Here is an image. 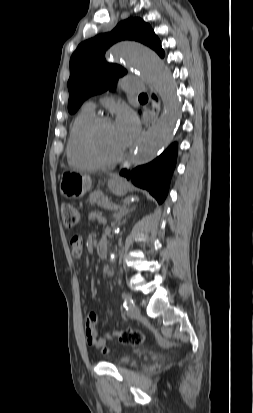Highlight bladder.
I'll return each instance as SVG.
<instances>
[{"mask_svg": "<svg viewBox=\"0 0 253 413\" xmlns=\"http://www.w3.org/2000/svg\"><path fill=\"white\" fill-rule=\"evenodd\" d=\"M133 361V357L129 355L121 356L117 359L119 365H127Z\"/></svg>", "mask_w": 253, "mask_h": 413, "instance_id": "bladder-1", "label": "bladder"}]
</instances>
